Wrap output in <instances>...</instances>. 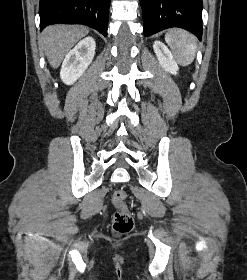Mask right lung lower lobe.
Masks as SVG:
<instances>
[{
  "instance_id": "obj_1",
  "label": "right lung lower lobe",
  "mask_w": 247,
  "mask_h": 280,
  "mask_svg": "<svg viewBox=\"0 0 247 280\" xmlns=\"http://www.w3.org/2000/svg\"><path fill=\"white\" fill-rule=\"evenodd\" d=\"M110 0H40V30L55 23L85 24L105 37Z\"/></svg>"
}]
</instances>
